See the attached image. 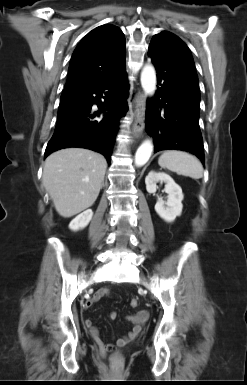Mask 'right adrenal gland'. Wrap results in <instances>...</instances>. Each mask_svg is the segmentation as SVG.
Instances as JSON below:
<instances>
[{
    "label": "right adrenal gland",
    "instance_id": "2a0ac1e0",
    "mask_svg": "<svg viewBox=\"0 0 247 385\" xmlns=\"http://www.w3.org/2000/svg\"><path fill=\"white\" fill-rule=\"evenodd\" d=\"M104 186V182L102 183V187Z\"/></svg>",
    "mask_w": 247,
    "mask_h": 385
}]
</instances>
